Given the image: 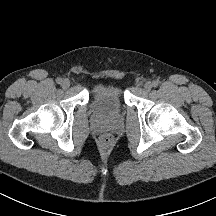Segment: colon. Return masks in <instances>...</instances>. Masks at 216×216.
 Listing matches in <instances>:
<instances>
[{"mask_svg": "<svg viewBox=\"0 0 216 216\" xmlns=\"http://www.w3.org/2000/svg\"><path fill=\"white\" fill-rule=\"evenodd\" d=\"M113 143V138L109 134H103L99 138V144L102 148H109Z\"/></svg>", "mask_w": 216, "mask_h": 216, "instance_id": "obj_1", "label": "colon"}]
</instances>
